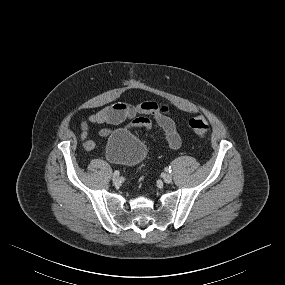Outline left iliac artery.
Instances as JSON below:
<instances>
[{"label":"left iliac artery","mask_w":285,"mask_h":285,"mask_svg":"<svg viewBox=\"0 0 285 285\" xmlns=\"http://www.w3.org/2000/svg\"><path fill=\"white\" fill-rule=\"evenodd\" d=\"M165 171L168 172V173H171V171H172V170H171V166L166 167V168H165Z\"/></svg>","instance_id":"left-iliac-artery-1"}]
</instances>
